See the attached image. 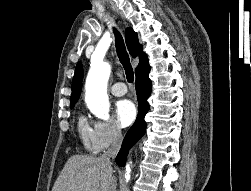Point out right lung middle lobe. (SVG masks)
Instances as JSON below:
<instances>
[{
  "instance_id": "obj_1",
  "label": "right lung middle lobe",
  "mask_w": 251,
  "mask_h": 191,
  "mask_svg": "<svg viewBox=\"0 0 251 191\" xmlns=\"http://www.w3.org/2000/svg\"><path fill=\"white\" fill-rule=\"evenodd\" d=\"M74 105H75V104L70 105V108L72 109V108L74 107Z\"/></svg>"
}]
</instances>
